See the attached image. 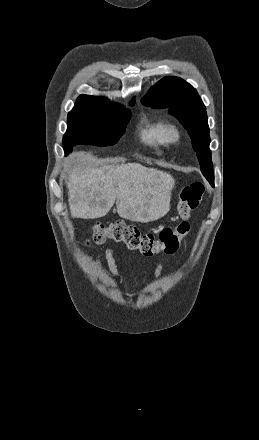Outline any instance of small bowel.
Returning a JSON list of instances; mask_svg holds the SVG:
<instances>
[{
    "instance_id": "1",
    "label": "small bowel",
    "mask_w": 259,
    "mask_h": 440,
    "mask_svg": "<svg viewBox=\"0 0 259 440\" xmlns=\"http://www.w3.org/2000/svg\"><path fill=\"white\" fill-rule=\"evenodd\" d=\"M104 256H105V260L107 262L108 268H109L112 276L114 277V279L116 281L121 282L120 275H119L118 270L116 268L114 254H113L112 248H107L105 250ZM96 264H100V260L99 259H96ZM162 272H163V263L162 262H158V264L156 266V269H155V272H154L155 279H158L161 276Z\"/></svg>"
}]
</instances>
